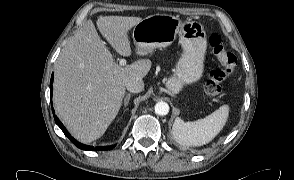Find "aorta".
Returning a JSON list of instances; mask_svg holds the SVG:
<instances>
[{"label":"aorta","instance_id":"obj_1","mask_svg":"<svg viewBox=\"0 0 294 180\" xmlns=\"http://www.w3.org/2000/svg\"><path fill=\"white\" fill-rule=\"evenodd\" d=\"M155 113L160 116H165L169 113V105L166 102L160 101L155 104Z\"/></svg>","mask_w":294,"mask_h":180}]
</instances>
